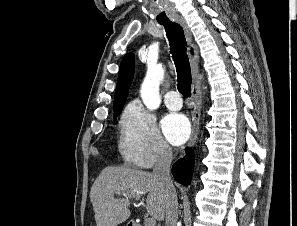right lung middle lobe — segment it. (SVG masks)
<instances>
[{
    "mask_svg": "<svg viewBox=\"0 0 297 226\" xmlns=\"http://www.w3.org/2000/svg\"><path fill=\"white\" fill-rule=\"evenodd\" d=\"M123 106L117 107L114 109V117L116 118L117 116H119V114L121 113Z\"/></svg>",
    "mask_w": 297,
    "mask_h": 226,
    "instance_id": "right-lung-middle-lobe-1",
    "label": "right lung middle lobe"
}]
</instances>
